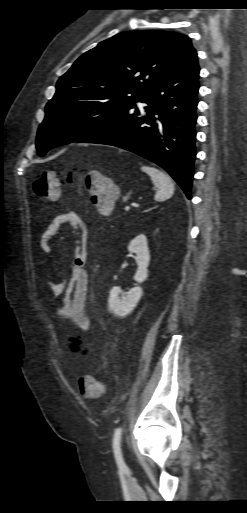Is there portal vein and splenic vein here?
Instances as JSON below:
<instances>
[{
    "label": "portal vein and splenic vein",
    "mask_w": 247,
    "mask_h": 513,
    "mask_svg": "<svg viewBox=\"0 0 247 513\" xmlns=\"http://www.w3.org/2000/svg\"><path fill=\"white\" fill-rule=\"evenodd\" d=\"M124 210H125V212H128V211L130 210V207H129V206H126V207L124 208Z\"/></svg>",
    "instance_id": "portal-vein-and-splenic-vein-1"
}]
</instances>
